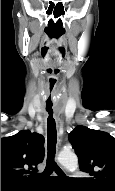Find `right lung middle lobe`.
I'll return each mask as SVG.
<instances>
[{
    "label": "right lung middle lobe",
    "mask_w": 115,
    "mask_h": 191,
    "mask_svg": "<svg viewBox=\"0 0 115 191\" xmlns=\"http://www.w3.org/2000/svg\"><path fill=\"white\" fill-rule=\"evenodd\" d=\"M15 190H17V189L1 187V191H15Z\"/></svg>",
    "instance_id": "dd1d6c3e"
}]
</instances>
